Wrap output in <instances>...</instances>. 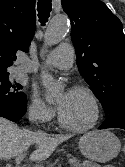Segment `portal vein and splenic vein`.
<instances>
[{
    "mask_svg": "<svg viewBox=\"0 0 125 167\" xmlns=\"http://www.w3.org/2000/svg\"><path fill=\"white\" fill-rule=\"evenodd\" d=\"M26 153H22L20 155H18L16 158H15V162L17 164H21V162L23 161L24 157H25ZM73 162V160H69L68 163L71 164ZM34 167H40V166H34Z\"/></svg>",
    "mask_w": 125,
    "mask_h": 167,
    "instance_id": "1",
    "label": "portal vein and splenic vein"
}]
</instances>
